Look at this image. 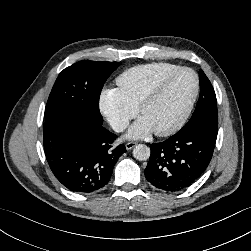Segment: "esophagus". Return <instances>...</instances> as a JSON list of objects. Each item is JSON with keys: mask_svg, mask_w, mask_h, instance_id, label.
Masks as SVG:
<instances>
[{"mask_svg": "<svg viewBox=\"0 0 251 251\" xmlns=\"http://www.w3.org/2000/svg\"><path fill=\"white\" fill-rule=\"evenodd\" d=\"M135 145H136L135 142H128V143H126L125 146H126L127 150H131Z\"/></svg>", "mask_w": 251, "mask_h": 251, "instance_id": "34e87169", "label": "esophagus"}]
</instances>
